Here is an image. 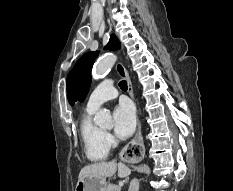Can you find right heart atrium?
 Masks as SVG:
<instances>
[{"mask_svg":"<svg viewBox=\"0 0 233 191\" xmlns=\"http://www.w3.org/2000/svg\"><path fill=\"white\" fill-rule=\"evenodd\" d=\"M104 139L109 148L113 147L115 144V140L113 136L109 133H104Z\"/></svg>","mask_w":233,"mask_h":191,"instance_id":"d8ad5b80","label":"right heart atrium"}]
</instances>
